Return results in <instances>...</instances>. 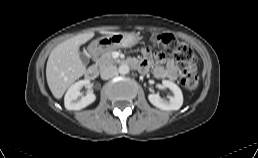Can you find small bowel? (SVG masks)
<instances>
[{"label": "small bowel", "instance_id": "obj_1", "mask_svg": "<svg viewBox=\"0 0 258 158\" xmlns=\"http://www.w3.org/2000/svg\"><path fill=\"white\" fill-rule=\"evenodd\" d=\"M143 59L139 61L140 71L146 72L154 66L156 60L165 61V65H156L153 67V74L156 78H166L174 81L184 72H180L173 60L167 59L165 54L160 53L153 56L152 52L148 48L142 49ZM136 60V59H135ZM138 61V60H137Z\"/></svg>", "mask_w": 258, "mask_h": 158}]
</instances>
